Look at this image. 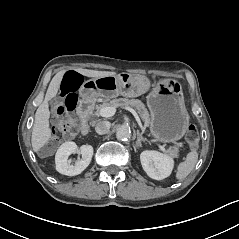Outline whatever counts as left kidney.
<instances>
[{"label":"left kidney","instance_id":"5707ae66","mask_svg":"<svg viewBox=\"0 0 239 239\" xmlns=\"http://www.w3.org/2000/svg\"><path fill=\"white\" fill-rule=\"evenodd\" d=\"M140 161L147 175L155 180H162L170 176L174 167L173 158L158 151H143Z\"/></svg>","mask_w":239,"mask_h":239}]
</instances>
